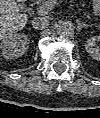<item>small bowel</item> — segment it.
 I'll use <instances>...</instances> for the list:
<instances>
[{"mask_svg":"<svg viewBox=\"0 0 100 118\" xmlns=\"http://www.w3.org/2000/svg\"><path fill=\"white\" fill-rule=\"evenodd\" d=\"M93 9H94V11H97V10L99 9V1H98V0H96V1L94 2V4H93Z\"/></svg>","mask_w":100,"mask_h":118,"instance_id":"small-bowel-1","label":"small bowel"}]
</instances>
